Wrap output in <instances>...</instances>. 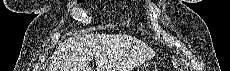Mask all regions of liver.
<instances>
[{"label":"liver","mask_w":230,"mask_h":71,"mask_svg":"<svg viewBox=\"0 0 230 71\" xmlns=\"http://www.w3.org/2000/svg\"><path fill=\"white\" fill-rule=\"evenodd\" d=\"M154 54L146 44L127 35H75L56 48L47 71H93L89 66L93 59L96 71H130Z\"/></svg>","instance_id":"obj_1"}]
</instances>
